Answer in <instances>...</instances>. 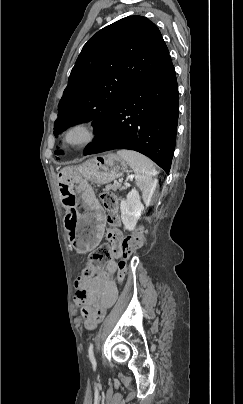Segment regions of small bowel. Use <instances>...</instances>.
<instances>
[{"instance_id": "small-bowel-1", "label": "small bowel", "mask_w": 243, "mask_h": 404, "mask_svg": "<svg viewBox=\"0 0 243 404\" xmlns=\"http://www.w3.org/2000/svg\"><path fill=\"white\" fill-rule=\"evenodd\" d=\"M107 237L114 246L115 254L119 255L122 233L119 230H110ZM116 271L117 263L110 261L96 277L92 279L79 278L75 283L77 288L75 300L78 305H81L85 327L89 330L97 326V316L101 313L105 314L106 310L117 299V287L112 280Z\"/></svg>"}]
</instances>
